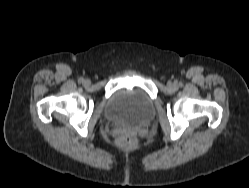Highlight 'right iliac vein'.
Instances as JSON below:
<instances>
[{
  "label": "right iliac vein",
  "mask_w": 249,
  "mask_h": 188,
  "mask_svg": "<svg viewBox=\"0 0 249 188\" xmlns=\"http://www.w3.org/2000/svg\"><path fill=\"white\" fill-rule=\"evenodd\" d=\"M83 84L86 86L90 85V80L89 79L84 80Z\"/></svg>",
  "instance_id": "1"
}]
</instances>
